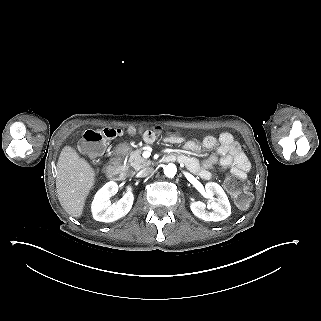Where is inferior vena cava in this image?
Wrapping results in <instances>:
<instances>
[{"instance_id":"obj_1","label":"inferior vena cava","mask_w":321,"mask_h":321,"mask_svg":"<svg viewBox=\"0 0 321 321\" xmlns=\"http://www.w3.org/2000/svg\"><path fill=\"white\" fill-rule=\"evenodd\" d=\"M154 172V168L153 167H146L142 170L139 171L138 176L139 177H147L150 174H152Z\"/></svg>"}]
</instances>
